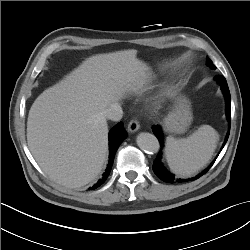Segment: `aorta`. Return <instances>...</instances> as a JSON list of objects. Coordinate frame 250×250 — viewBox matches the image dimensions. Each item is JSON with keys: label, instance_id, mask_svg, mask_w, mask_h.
I'll list each match as a JSON object with an SVG mask.
<instances>
[{"label": "aorta", "instance_id": "obj_1", "mask_svg": "<svg viewBox=\"0 0 250 250\" xmlns=\"http://www.w3.org/2000/svg\"><path fill=\"white\" fill-rule=\"evenodd\" d=\"M136 141L139 148L147 153H157L160 149L158 139L151 133H140Z\"/></svg>", "mask_w": 250, "mask_h": 250}]
</instances>
